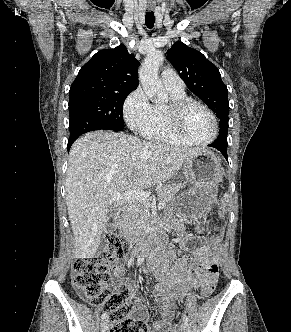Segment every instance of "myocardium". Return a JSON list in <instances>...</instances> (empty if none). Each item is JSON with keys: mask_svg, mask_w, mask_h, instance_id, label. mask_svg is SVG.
I'll return each mask as SVG.
<instances>
[{"mask_svg": "<svg viewBox=\"0 0 291 332\" xmlns=\"http://www.w3.org/2000/svg\"><path fill=\"white\" fill-rule=\"evenodd\" d=\"M194 106H198V107H201L202 109H204L209 114V116L213 122V129H214L213 135L207 140H204V141L196 140L193 137H191L185 129V124H184L185 115H186L187 111L191 107H194ZM167 111H168L169 119H170L173 130L180 137H182L189 143L195 144V145H208L217 138L218 131H219L218 121H217L216 115L214 114L212 109L209 106H207L206 104H204L200 101L194 100V99L186 98V99L171 102L168 105Z\"/></svg>", "mask_w": 291, "mask_h": 332, "instance_id": "1", "label": "myocardium"}]
</instances>
